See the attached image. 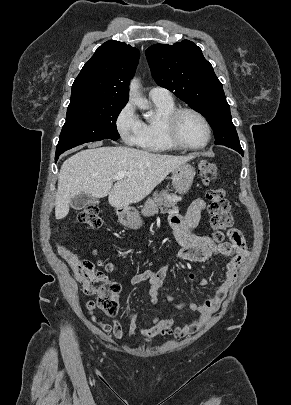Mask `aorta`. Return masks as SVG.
I'll list each match as a JSON object with an SVG mask.
<instances>
[{
  "instance_id": "aorta-1",
  "label": "aorta",
  "mask_w": 291,
  "mask_h": 405,
  "mask_svg": "<svg viewBox=\"0 0 291 405\" xmlns=\"http://www.w3.org/2000/svg\"><path fill=\"white\" fill-rule=\"evenodd\" d=\"M140 84L138 79L133 78L130 81L129 85V97L130 100L139 108V109H148L149 108V103L147 99L143 98L140 94L139 91Z\"/></svg>"
}]
</instances>
